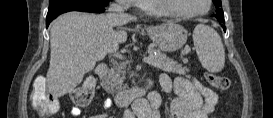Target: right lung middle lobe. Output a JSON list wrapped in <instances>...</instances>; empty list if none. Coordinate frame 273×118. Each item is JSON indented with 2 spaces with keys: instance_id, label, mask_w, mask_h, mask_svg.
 <instances>
[{
  "instance_id": "obj_1",
  "label": "right lung middle lobe",
  "mask_w": 273,
  "mask_h": 118,
  "mask_svg": "<svg viewBox=\"0 0 273 118\" xmlns=\"http://www.w3.org/2000/svg\"><path fill=\"white\" fill-rule=\"evenodd\" d=\"M79 1L86 2V3H91V4H97V5H100V6H107L109 4L110 0H79Z\"/></svg>"
}]
</instances>
